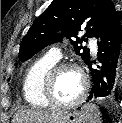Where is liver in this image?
Instances as JSON below:
<instances>
[{
	"instance_id": "obj_1",
	"label": "liver",
	"mask_w": 122,
	"mask_h": 123,
	"mask_svg": "<svg viewBox=\"0 0 122 123\" xmlns=\"http://www.w3.org/2000/svg\"><path fill=\"white\" fill-rule=\"evenodd\" d=\"M62 113L63 111L24 109L14 115L12 123H52Z\"/></svg>"
}]
</instances>
